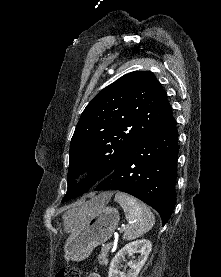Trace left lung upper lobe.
<instances>
[{"label": "left lung upper lobe", "mask_w": 221, "mask_h": 277, "mask_svg": "<svg viewBox=\"0 0 221 277\" xmlns=\"http://www.w3.org/2000/svg\"><path fill=\"white\" fill-rule=\"evenodd\" d=\"M171 112L167 94L150 71L126 74L84 109L70 143L68 190L78 197L110 175L130 149ZM88 177L76 185L83 172Z\"/></svg>", "instance_id": "1"}]
</instances>
